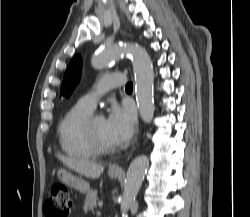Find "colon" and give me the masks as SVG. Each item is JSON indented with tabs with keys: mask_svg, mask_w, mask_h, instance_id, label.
<instances>
[{
	"mask_svg": "<svg viewBox=\"0 0 250 217\" xmlns=\"http://www.w3.org/2000/svg\"><path fill=\"white\" fill-rule=\"evenodd\" d=\"M72 201L66 186L54 185L44 205L46 217H69Z\"/></svg>",
	"mask_w": 250,
	"mask_h": 217,
	"instance_id": "colon-1",
	"label": "colon"
}]
</instances>
